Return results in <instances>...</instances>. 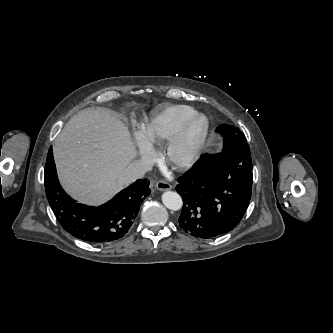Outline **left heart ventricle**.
Wrapping results in <instances>:
<instances>
[{
    "instance_id": "b2bd125f",
    "label": "left heart ventricle",
    "mask_w": 333,
    "mask_h": 333,
    "mask_svg": "<svg viewBox=\"0 0 333 333\" xmlns=\"http://www.w3.org/2000/svg\"><path fill=\"white\" fill-rule=\"evenodd\" d=\"M199 129H200V122L197 121L191 128L190 136L195 137L196 134L198 133Z\"/></svg>"
}]
</instances>
